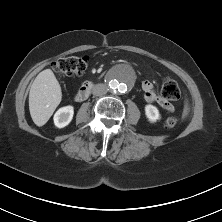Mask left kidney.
<instances>
[{
    "mask_svg": "<svg viewBox=\"0 0 222 222\" xmlns=\"http://www.w3.org/2000/svg\"><path fill=\"white\" fill-rule=\"evenodd\" d=\"M145 114L148 120L152 123L156 122L161 118L157 107L151 104L145 106Z\"/></svg>",
    "mask_w": 222,
    "mask_h": 222,
    "instance_id": "5707ae66",
    "label": "left kidney"
}]
</instances>
